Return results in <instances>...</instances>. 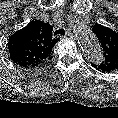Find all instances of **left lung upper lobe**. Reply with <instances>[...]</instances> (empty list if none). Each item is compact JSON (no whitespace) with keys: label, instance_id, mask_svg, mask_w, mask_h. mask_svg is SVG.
<instances>
[{"label":"left lung upper lobe","instance_id":"left-lung-upper-lobe-1","mask_svg":"<svg viewBox=\"0 0 118 118\" xmlns=\"http://www.w3.org/2000/svg\"><path fill=\"white\" fill-rule=\"evenodd\" d=\"M93 31L103 48L104 59L98 65L92 64V66L106 73L118 69V34L100 24H95Z\"/></svg>","mask_w":118,"mask_h":118}]
</instances>
